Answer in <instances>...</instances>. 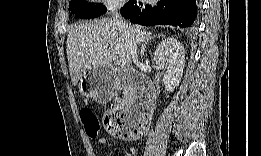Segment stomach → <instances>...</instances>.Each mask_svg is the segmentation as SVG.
I'll list each match as a JSON object with an SVG mask.
<instances>
[{"label": "stomach", "mask_w": 261, "mask_h": 156, "mask_svg": "<svg viewBox=\"0 0 261 156\" xmlns=\"http://www.w3.org/2000/svg\"><path fill=\"white\" fill-rule=\"evenodd\" d=\"M79 90L84 96L96 100L103 94L111 95L113 81L110 70L107 67L88 70L79 82Z\"/></svg>", "instance_id": "1"}]
</instances>
